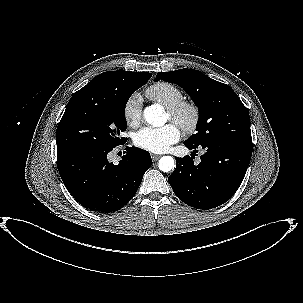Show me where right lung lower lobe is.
<instances>
[{
  "mask_svg": "<svg viewBox=\"0 0 303 303\" xmlns=\"http://www.w3.org/2000/svg\"><path fill=\"white\" fill-rule=\"evenodd\" d=\"M113 148L57 151V167L64 185L77 202L95 212L108 213L125 206L152 164L148 151L127 147L115 165L108 160Z\"/></svg>",
  "mask_w": 303,
  "mask_h": 303,
  "instance_id": "obj_1",
  "label": "right lung lower lobe"
}]
</instances>
